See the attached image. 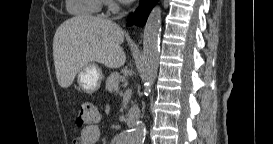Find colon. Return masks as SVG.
<instances>
[{"instance_id": "colon-1", "label": "colon", "mask_w": 273, "mask_h": 144, "mask_svg": "<svg viewBox=\"0 0 273 144\" xmlns=\"http://www.w3.org/2000/svg\"><path fill=\"white\" fill-rule=\"evenodd\" d=\"M98 111L92 102H83L76 116V126L80 129L94 126L98 121Z\"/></svg>"}]
</instances>
